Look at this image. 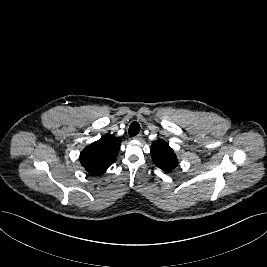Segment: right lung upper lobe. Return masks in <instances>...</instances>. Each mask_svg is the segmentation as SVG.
<instances>
[{
    "instance_id": "1",
    "label": "right lung upper lobe",
    "mask_w": 267,
    "mask_h": 267,
    "mask_svg": "<svg viewBox=\"0 0 267 267\" xmlns=\"http://www.w3.org/2000/svg\"><path fill=\"white\" fill-rule=\"evenodd\" d=\"M121 138L105 135L80 153L81 165L92 175L104 173L115 161L120 149Z\"/></svg>"
}]
</instances>
